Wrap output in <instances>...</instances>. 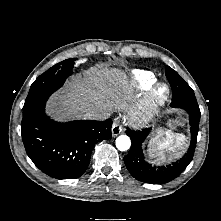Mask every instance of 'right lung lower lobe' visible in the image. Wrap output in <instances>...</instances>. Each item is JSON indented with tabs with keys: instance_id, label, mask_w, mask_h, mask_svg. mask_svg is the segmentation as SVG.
I'll use <instances>...</instances> for the list:
<instances>
[{
	"instance_id": "right-lung-lower-lobe-1",
	"label": "right lung lower lobe",
	"mask_w": 221,
	"mask_h": 221,
	"mask_svg": "<svg viewBox=\"0 0 221 221\" xmlns=\"http://www.w3.org/2000/svg\"><path fill=\"white\" fill-rule=\"evenodd\" d=\"M112 120L58 123L45 114V103L23 115L22 140L33 163L57 179L80 177L97 142L111 138Z\"/></svg>"
}]
</instances>
